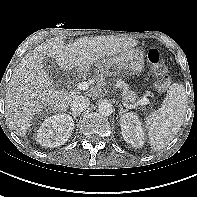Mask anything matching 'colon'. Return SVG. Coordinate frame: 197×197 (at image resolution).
Instances as JSON below:
<instances>
[{"instance_id":"obj_1","label":"colon","mask_w":197,"mask_h":197,"mask_svg":"<svg viewBox=\"0 0 197 197\" xmlns=\"http://www.w3.org/2000/svg\"><path fill=\"white\" fill-rule=\"evenodd\" d=\"M148 61L150 62L155 73L158 76V90H166L170 84V79L168 76V67L166 65L163 54L157 49H151L148 52Z\"/></svg>"}]
</instances>
